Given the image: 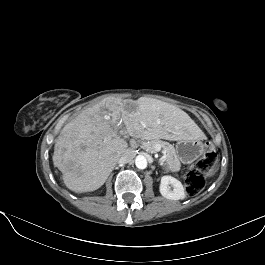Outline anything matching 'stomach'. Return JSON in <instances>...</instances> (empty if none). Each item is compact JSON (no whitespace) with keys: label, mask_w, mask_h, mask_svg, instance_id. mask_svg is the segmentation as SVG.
Instances as JSON below:
<instances>
[{"label":"stomach","mask_w":265,"mask_h":265,"mask_svg":"<svg viewBox=\"0 0 265 265\" xmlns=\"http://www.w3.org/2000/svg\"><path fill=\"white\" fill-rule=\"evenodd\" d=\"M175 150L182 163L190 164L203 154L204 148L199 139L184 138L177 141Z\"/></svg>","instance_id":"obj_1"}]
</instances>
